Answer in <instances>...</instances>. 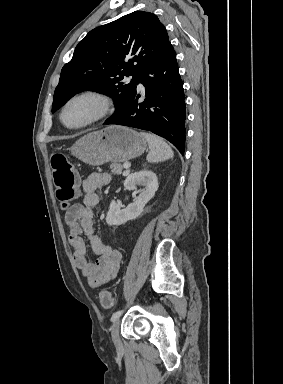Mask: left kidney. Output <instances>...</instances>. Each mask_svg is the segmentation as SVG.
<instances>
[{"label":"left kidney","mask_w":283,"mask_h":384,"mask_svg":"<svg viewBox=\"0 0 283 384\" xmlns=\"http://www.w3.org/2000/svg\"><path fill=\"white\" fill-rule=\"evenodd\" d=\"M136 186H144V190H138L137 200L133 204H129L124 210H121L115 200H112L106 216L108 226H121V224H125L128 220H135L142 214L145 204L153 198L158 190L156 174L150 172V170H141V172L129 174L124 182L125 190H137Z\"/></svg>","instance_id":"5707ae66"}]
</instances>
